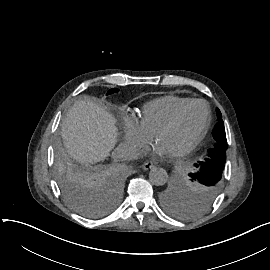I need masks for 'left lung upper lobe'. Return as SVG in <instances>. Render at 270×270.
<instances>
[{
  "mask_svg": "<svg viewBox=\"0 0 270 270\" xmlns=\"http://www.w3.org/2000/svg\"><path fill=\"white\" fill-rule=\"evenodd\" d=\"M218 124L213 138L216 144L209 149L207 156L195 164L197 171L180 188L165 193L164 207L174 215L190 217L206 209L218 194L222 184V174L228 147L225 128L220 110L217 108Z\"/></svg>",
  "mask_w": 270,
  "mask_h": 270,
  "instance_id": "1",
  "label": "left lung upper lobe"
}]
</instances>
